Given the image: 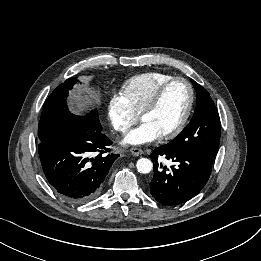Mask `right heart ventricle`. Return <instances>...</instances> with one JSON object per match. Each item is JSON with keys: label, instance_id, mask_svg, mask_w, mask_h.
<instances>
[{"label": "right heart ventricle", "instance_id": "right-heart-ventricle-1", "mask_svg": "<svg viewBox=\"0 0 261 261\" xmlns=\"http://www.w3.org/2000/svg\"><path fill=\"white\" fill-rule=\"evenodd\" d=\"M172 78V75L161 71L138 74L123 83L121 93L135 112L141 114L160 87Z\"/></svg>", "mask_w": 261, "mask_h": 261}]
</instances>
